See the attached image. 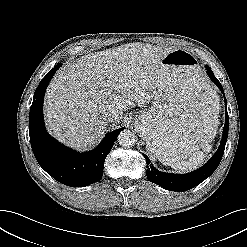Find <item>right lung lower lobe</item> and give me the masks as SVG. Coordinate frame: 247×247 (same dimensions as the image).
Here are the masks:
<instances>
[{
  "label": "right lung lower lobe",
  "instance_id": "1",
  "mask_svg": "<svg viewBox=\"0 0 247 247\" xmlns=\"http://www.w3.org/2000/svg\"><path fill=\"white\" fill-rule=\"evenodd\" d=\"M59 67L56 65L47 73L34 93L29 120L30 142L39 165L49 175L67 186L83 187L102 178L105 158L124 128L108 133L96 149L85 153L65 147L52 138L44 125L43 99L46 87Z\"/></svg>",
  "mask_w": 247,
  "mask_h": 247
}]
</instances>
